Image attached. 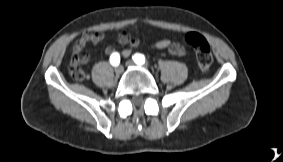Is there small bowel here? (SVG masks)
I'll return each mask as SVG.
<instances>
[{
    "instance_id": "small-bowel-1",
    "label": "small bowel",
    "mask_w": 283,
    "mask_h": 162,
    "mask_svg": "<svg viewBox=\"0 0 283 162\" xmlns=\"http://www.w3.org/2000/svg\"><path fill=\"white\" fill-rule=\"evenodd\" d=\"M105 33L101 31L96 32H85L73 45L72 48V58L69 65V72L72 69H80V66L86 65L90 57L87 54H83L82 51L88 43L98 44L105 39ZM118 43L122 45H127L128 47L124 49V56H129L131 54L132 48L139 45V40L132 37L126 32H122L117 36ZM152 48L155 50H166L172 55L176 56H187L185 48L179 43H173L169 39H162L152 44ZM106 53L108 55L114 53L113 47H107Z\"/></svg>"
}]
</instances>
